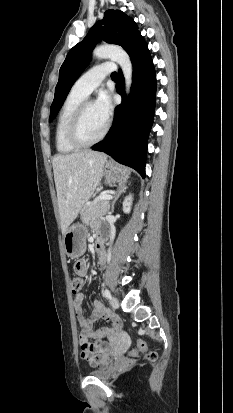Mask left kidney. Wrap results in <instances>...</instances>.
Instances as JSON below:
<instances>
[{"mask_svg": "<svg viewBox=\"0 0 233 413\" xmlns=\"http://www.w3.org/2000/svg\"><path fill=\"white\" fill-rule=\"evenodd\" d=\"M132 201H133L132 194H129L128 196L125 197V199L123 201V211H124V213H129L130 212L131 206H132Z\"/></svg>", "mask_w": 233, "mask_h": 413, "instance_id": "5707ae66", "label": "left kidney"}]
</instances>
